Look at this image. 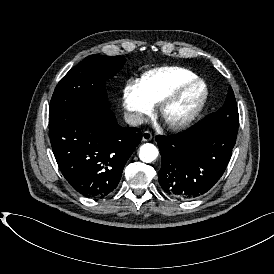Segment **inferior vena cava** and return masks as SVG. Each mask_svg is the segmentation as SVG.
<instances>
[{
    "label": "inferior vena cava",
    "instance_id": "obj_1",
    "mask_svg": "<svg viewBox=\"0 0 274 274\" xmlns=\"http://www.w3.org/2000/svg\"><path fill=\"white\" fill-rule=\"evenodd\" d=\"M125 121L131 126H139L145 122V117L141 113L126 112L124 114Z\"/></svg>",
    "mask_w": 274,
    "mask_h": 274
}]
</instances>
